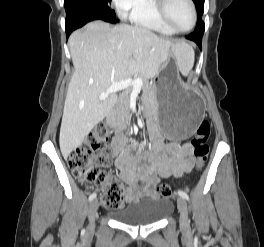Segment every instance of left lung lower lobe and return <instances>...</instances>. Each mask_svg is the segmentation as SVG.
<instances>
[{
	"mask_svg": "<svg viewBox=\"0 0 264 247\" xmlns=\"http://www.w3.org/2000/svg\"><path fill=\"white\" fill-rule=\"evenodd\" d=\"M203 33H204V29L197 30V31H194L192 34L186 36V38L196 42L199 48L201 49Z\"/></svg>",
	"mask_w": 264,
	"mask_h": 247,
	"instance_id": "obj_1",
	"label": "left lung lower lobe"
}]
</instances>
